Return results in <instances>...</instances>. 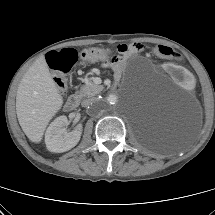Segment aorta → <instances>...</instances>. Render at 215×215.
<instances>
[{"instance_id":"aorta-1","label":"aorta","mask_w":215,"mask_h":215,"mask_svg":"<svg viewBox=\"0 0 215 215\" xmlns=\"http://www.w3.org/2000/svg\"><path fill=\"white\" fill-rule=\"evenodd\" d=\"M116 101H117L116 96L110 95V96L107 98L106 103H107L108 105H112V104H115Z\"/></svg>"}]
</instances>
